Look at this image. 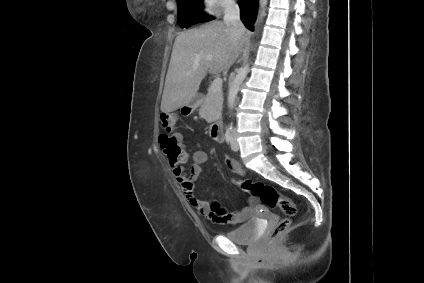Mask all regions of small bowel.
<instances>
[{
    "label": "small bowel",
    "mask_w": 424,
    "mask_h": 283,
    "mask_svg": "<svg viewBox=\"0 0 424 283\" xmlns=\"http://www.w3.org/2000/svg\"><path fill=\"white\" fill-rule=\"evenodd\" d=\"M187 159L188 157L186 154V161ZM206 161V152L202 149H197L192 156V162L188 170H185L183 166L175 167L172 169L173 175L185 199L191 206H193L198 211L199 214L203 216H209L215 222L229 221L232 223H239L244 221L247 218V211L244 209L233 213L229 218L225 220H220L210 212L209 205L207 204V202L197 198L195 194V182L203 172L204 164L206 163ZM224 162L232 171L238 174H244V170L242 169L241 165L230 156L225 155Z\"/></svg>",
    "instance_id": "1"
}]
</instances>
